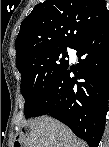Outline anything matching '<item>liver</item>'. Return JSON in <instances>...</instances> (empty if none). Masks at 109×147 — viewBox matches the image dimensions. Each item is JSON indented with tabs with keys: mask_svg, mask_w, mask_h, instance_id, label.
Segmentation results:
<instances>
[{
	"mask_svg": "<svg viewBox=\"0 0 109 147\" xmlns=\"http://www.w3.org/2000/svg\"><path fill=\"white\" fill-rule=\"evenodd\" d=\"M30 132L24 147H86L73 132L58 120L42 116L28 122Z\"/></svg>",
	"mask_w": 109,
	"mask_h": 147,
	"instance_id": "1",
	"label": "liver"
}]
</instances>
